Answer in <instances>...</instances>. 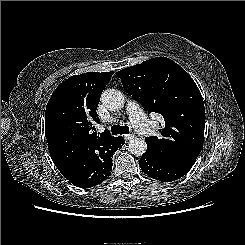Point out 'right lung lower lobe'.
Instances as JSON below:
<instances>
[{"label":"right lung lower lobe","instance_id":"98d812e1","mask_svg":"<svg viewBox=\"0 0 245 245\" xmlns=\"http://www.w3.org/2000/svg\"><path fill=\"white\" fill-rule=\"evenodd\" d=\"M125 141L122 137H117L111 142L97 146L93 149L87 167L93 172L89 180L83 181L77 169L73 166H56L63 176L72 184L81 188L93 187L106 180L112 170V156L115 151L124 145Z\"/></svg>","mask_w":245,"mask_h":245}]
</instances>
